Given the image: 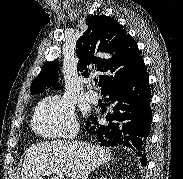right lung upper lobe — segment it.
Here are the masks:
<instances>
[{"label":"right lung upper lobe","mask_w":183,"mask_h":179,"mask_svg":"<svg viewBox=\"0 0 183 179\" xmlns=\"http://www.w3.org/2000/svg\"><path fill=\"white\" fill-rule=\"evenodd\" d=\"M79 58L77 70L88 77L92 71L102 72L101 90L121 78L134 73L142 64L138 46L117 21L105 15L88 19V29L76 43ZM58 59L46 62L33 80L30 91L39 94L48 87L60 89L58 81Z\"/></svg>","instance_id":"right-lung-upper-lobe-1"}]
</instances>
